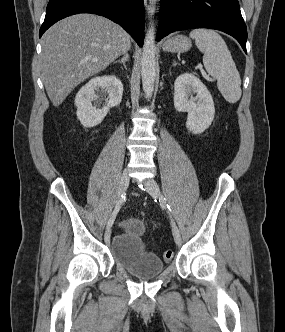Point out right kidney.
<instances>
[{"label":"right kidney","mask_w":285,"mask_h":332,"mask_svg":"<svg viewBox=\"0 0 285 332\" xmlns=\"http://www.w3.org/2000/svg\"><path fill=\"white\" fill-rule=\"evenodd\" d=\"M97 92V93H96ZM108 94L106 105L97 109L92 105V100ZM123 84L115 75H105L92 78L85 84L75 97L77 117L84 127H94L102 122L110 108L121 103Z\"/></svg>","instance_id":"right-kidney-1"}]
</instances>
